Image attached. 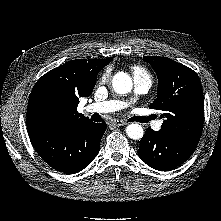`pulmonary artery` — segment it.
<instances>
[{
    "label": "pulmonary artery",
    "mask_w": 221,
    "mask_h": 221,
    "mask_svg": "<svg viewBox=\"0 0 221 221\" xmlns=\"http://www.w3.org/2000/svg\"><path fill=\"white\" fill-rule=\"evenodd\" d=\"M152 85V81L149 77L146 76H136L134 77V93L136 96L143 95L148 92ZM135 100L132 99L130 102L119 101V100H108L103 102H96L87 105L86 111L92 113H109L121 110L127 107L131 102ZM162 122L156 121L153 124L155 130L161 128Z\"/></svg>",
    "instance_id": "e3ab8cb5"
}]
</instances>
